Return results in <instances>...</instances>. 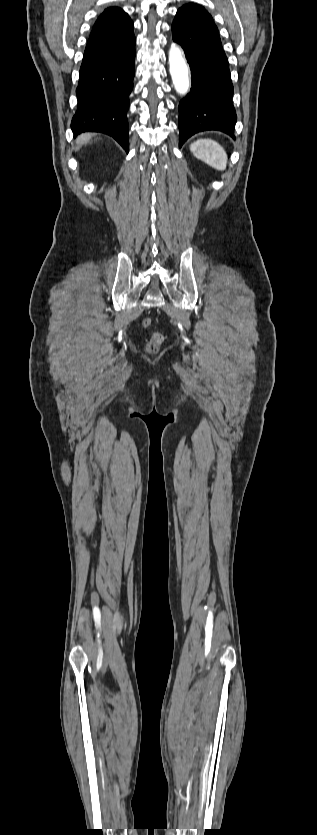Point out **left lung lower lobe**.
Segmentation results:
<instances>
[{"mask_svg":"<svg viewBox=\"0 0 317 835\" xmlns=\"http://www.w3.org/2000/svg\"><path fill=\"white\" fill-rule=\"evenodd\" d=\"M173 40L186 54L192 88L179 103V146L192 135L217 130L235 139L236 111L229 63L211 15L200 5L186 4L172 24Z\"/></svg>","mask_w":317,"mask_h":835,"instance_id":"obj_1","label":"left lung lower lobe"}]
</instances>
